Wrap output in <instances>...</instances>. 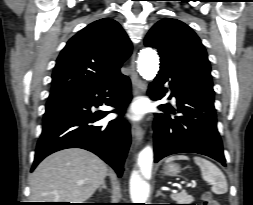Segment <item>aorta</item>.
Returning <instances> with one entry per match:
<instances>
[{
    "label": "aorta",
    "mask_w": 253,
    "mask_h": 205,
    "mask_svg": "<svg viewBox=\"0 0 253 205\" xmlns=\"http://www.w3.org/2000/svg\"><path fill=\"white\" fill-rule=\"evenodd\" d=\"M138 72L145 80H152L159 70V57L152 48H144L138 57ZM146 156L152 159V149L147 147L144 150ZM150 187L138 171H134L130 178V197L132 203H145L149 197Z\"/></svg>",
    "instance_id": "aorta-1"
}]
</instances>
